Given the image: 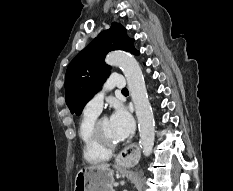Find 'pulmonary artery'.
<instances>
[{
	"instance_id": "obj_1",
	"label": "pulmonary artery",
	"mask_w": 233,
	"mask_h": 191,
	"mask_svg": "<svg viewBox=\"0 0 233 191\" xmlns=\"http://www.w3.org/2000/svg\"><path fill=\"white\" fill-rule=\"evenodd\" d=\"M125 87V79L122 75L110 76L104 84L103 90L94 95V97L87 103L85 110L99 114L102 110L104 94L106 91Z\"/></svg>"
}]
</instances>
